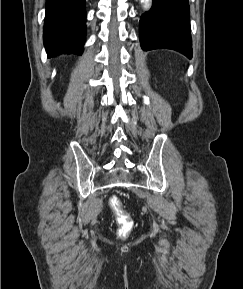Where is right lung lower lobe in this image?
Returning <instances> with one entry per match:
<instances>
[{"mask_svg": "<svg viewBox=\"0 0 243 289\" xmlns=\"http://www.w3.org/2000/svg\"><path fill=\"white\" fill-rule=\"evenodd\" d=\"M85 19V0H46L43 39L48 57L82 54Z\"/></svg>", "mask_w": 243, "mask_h": 289, "instance_id": "1", "label": "right lung lower lobe"}]
</instances>
